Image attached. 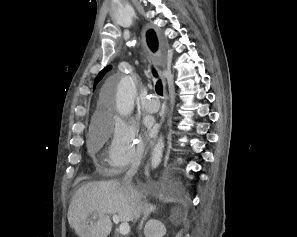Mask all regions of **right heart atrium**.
<instances>
[{
    "label": "right heart atrium",
    "mask_w": 297,
    "mask_h": 237,
    "mask_svg": "<svg viewBox=\"0 0 297 237\" xmlns=\"http://www.w3.org/2000/svg\"><path fill=\"white\" fill-rule=\"evenodd\" d=\"M98 124L99 142L108 143L106 161L111 172H120L141 161L145 142L134 122L109 113L103 115Z\"/></svg>",
    "instance_id": "d8ad5b80"
}]
</instances>
